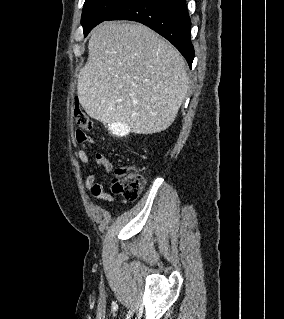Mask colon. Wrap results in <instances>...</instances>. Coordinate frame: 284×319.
Segmentation results:
<instances>
[{
    "instance_id": "5ec220e1",
    "label": "colon",
    "mask_w": 284,
    "mask_h": 319,
    "mask_svg": "<svg viewBox=\"0 0 284 319\" xmlns=\"http://www.w3.org/2000/svg\"><path fill=\"white\" fill-rule=\"evenodd\" d=\"M74 120L81 130L90 131L94 128L91 119L78 108L74 111ZM144 185L142 174L133 166H120L115 170L112 179V191L127 200H135Z\"/></svg>"
}]
</instances>
